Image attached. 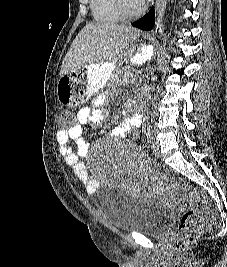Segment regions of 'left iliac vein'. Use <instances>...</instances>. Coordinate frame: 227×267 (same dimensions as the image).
Wrapping results in <instances>:
<instances>
[{
  "instance_id": "4c4485c4",
  "label": "left iliac vein",
  "mask_w": 227,
  "mask_h": 267,
  "mask_svg": "<svg viewBox=\"0 0 227 267\" xmlns=\"http://www.w3.org/2000/svg\"><path fill=\"white\" fill-rule=\"evenodd\" d=\"M152 151H153V154L156 157H160L161 156L160 148H159V142H158L157 139H153L152 140Z\"/></svg>"
}]
</instances>
